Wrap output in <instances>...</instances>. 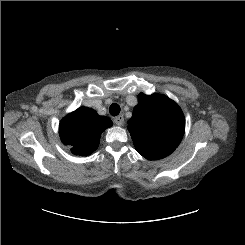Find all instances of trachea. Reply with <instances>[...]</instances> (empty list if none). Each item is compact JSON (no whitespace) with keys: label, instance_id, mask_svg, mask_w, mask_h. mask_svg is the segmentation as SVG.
Listing matches in <instances>:
<instances>
[{"label":"trachea","instance_id":"trachea-1","mask_svg":"<svg viewBox=\"0 0 245 245\" xmlns=\"http://www.w3.org/2000/svg\"><path fill=\"white\" fill-rule=\"evenodd\" d=\"M120 106L116 103H113L109 107V112L112 116H117L120 113Z\"/></svg>","mask_w":245,"mask_h":245}]
</instances>
